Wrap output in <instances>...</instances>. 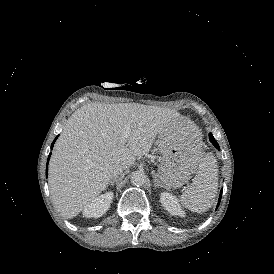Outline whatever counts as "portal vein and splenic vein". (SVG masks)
Wrapping results in <instances>:
<instances>
[{
    "label": "portal vein and splenic vein",
    "instance_id": "18ae733b",
    "mask_svg": "<svg viewBox=\"0 0 274 274\" xmlns=\"http://www.w3.org/2000/svg\"><path fill=\"white\" fill-rule=\"evenodd\" d=\"M124 135H125V136H126V135H129V132L124 133Z\"/></svg>",
    "mask_w": 274,
    "mask_h": 274
}]
</instances>
